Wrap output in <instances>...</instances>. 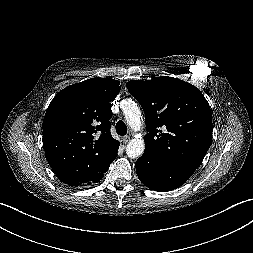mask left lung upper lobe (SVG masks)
I'll use <instances>...</instances> for the list:
<instances>
[{
    "label": "left lung upper lobe",
    "mask_w": 253,
    "mask_h": 253,
    "mask_svg": "<svg viewBox=\"0 0 253 253\" xmlns=\"http://www.w3.org/2000/svg\"><path fill=\"white\" fill-rule=\"evenodd\" d=\"M126 86L145 112V152L166 166L198 168L213 130L211 110L200 90L167 76L131 80Z\"/></svg>",
    "instance_id": "left-lung-upper-lobe-1"
}]
</instances>
